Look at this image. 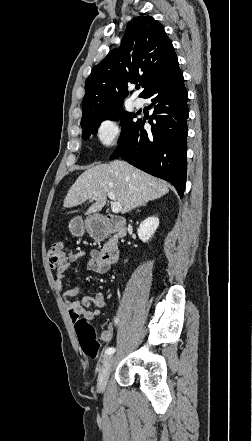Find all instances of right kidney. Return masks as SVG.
Wrapping results in <instances>:
<instances>
[{
	"instance_id": "right-kidney-1",
	"label": "right kidney",
	"mask_w": 252,
	"mask_h": 441,
	"mask_svg": "<svg viewBox=\"0 0 252 441\" xmlns=\"http://www.w3.org/2000/svg\"><path fill=\"white\" fill-rule=\"evenodd\" d=\"M159 226V219L157 217H149L145 219L139 226L137 233L139 239L146 243L154 235Z\"/></svg>"
}]
</instances>
